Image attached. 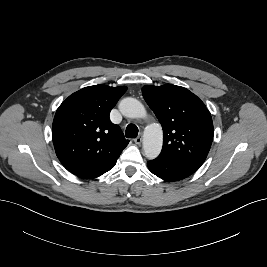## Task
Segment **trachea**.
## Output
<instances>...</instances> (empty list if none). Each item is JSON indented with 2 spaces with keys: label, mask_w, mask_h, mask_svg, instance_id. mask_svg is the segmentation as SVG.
<instances>
[{
  "label": "trachea",
  "mask_w": 267,
  "mask_h": 267,
  "mask_svg": "<svg viewBox=\"0 0 267 267\" xmlns=\"http://www.w3.org/2000/svg\"><path fill=\"white\" fill-rule=\"evenodd\" d=\"M125 135L127 138H136L138 136V128L135 124H129L126 127Z\"/></svg>",
  "instance_id": "1"
}]
</instances>
